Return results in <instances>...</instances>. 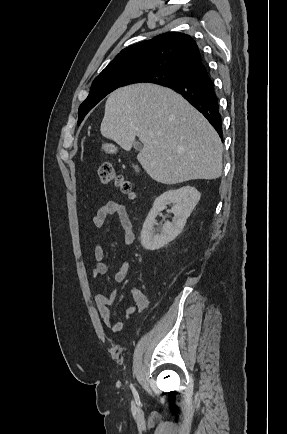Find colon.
<instances>
[{
	"label": "colon",
	"instance_id": "obj_1",
	"mask_svg": "<svg viewBox=\"0 0 287 434\" xmlns=\"http://www.w3.org/2000/svg\"><path fill=\"white\" fill-rule=\"evenodd\" d=\"M98 177L104 184H113L128 195L134 197L132 184L121 175L114 165L110 162H104L98 167Z\"/></svg>",
	"mask_w": 287,
	"mask_h": 434
}]
</instances>
